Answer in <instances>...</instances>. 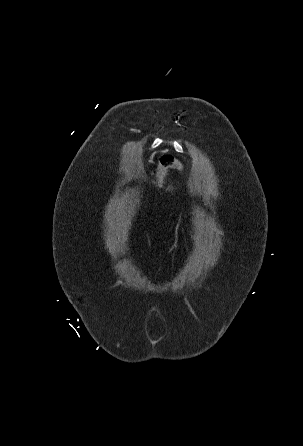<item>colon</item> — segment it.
<instances>
[{"instance_id": "5ec220e1", "label": "colon", "mask_w": 303, "mask_h": 446, "mask_svg": "<svg viewBox=\"0 0 303 446\" xmlns=\"http://www.w3.org/2000/svg\"><path fill=\"white\" fill-rule=\"evenodd\" d=\"M180 162L171 154H163L159 160V166L155 178V186L161 189L165 185L166 178L171 170L179 169Z\"/></svg>"}]
</instances>
